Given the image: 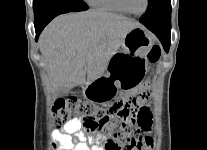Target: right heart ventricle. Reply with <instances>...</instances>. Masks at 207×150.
Listing matches in <instances>:
<instances>
[{
	"instance_id": "right-heart-ventricle-1",
	"label": "right heart ventricle",
	"mask_w": 207,
	"mask_h": 150,
	"mask_svg": "<svg viewBox=\"0 0 207 150\" xmlns=\"http://www.w3.org/2000/svg\"><path fill=\"white\" fill-rule=\"evenodd\" d=\"M88 2L99 10L126 15L128 12L122 6L120 0H88Z\"/></svg>"
}]
</instances>
